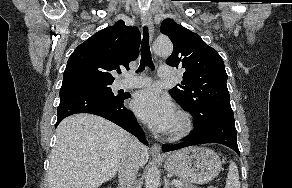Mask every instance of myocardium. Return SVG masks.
Masks as SVG:
<instances>
[{
    "label": "myocardium",
    "mask_w": 292,
    "mask_h": 188,
    "mask_svg": "<svg viewBox=\"0 0 292 188\" xmlns=\"http://www.w3.org/2000/svg\"><path fill=\"white\" fill-rule=\"evenodd\" d=\"M177 119L179 121L178 127L169 130L167 137L169 140L176 141L186 137L193 129V123L190 115L184 111L177 113Z\"/></svg>",
    "instance_id": "f54148a6"
}]
</instances>
